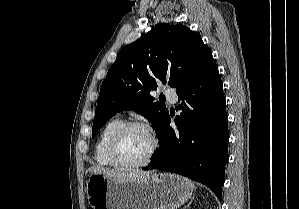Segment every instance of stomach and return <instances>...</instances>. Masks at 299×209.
Segmentation results:
<instances>
[{"label": "stomach", "mask_w": 299, "mask_h": 209, "mask_svg": "<svg viewBox=\"0 0 299 209\" xmlns=\"http://www.w3.org/2000/svg\"><path fill=\"white\" fill-rule=\"evenodd\" d=\"M86 185L93 209H177L193 191L189 179L169 173L133 181H117L92 173Z\"/></svg>", "instance_id": "1"}]
</instances>
